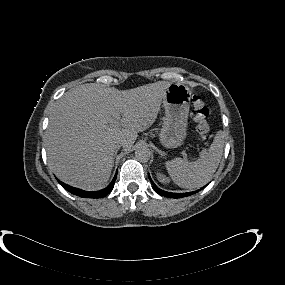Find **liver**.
<instances>
[{
	"mask_svg": "<svg viewBox=\"0 0 285 285\" xmlns=\"http://www.w3.org/2000/svg\"><path fill=\"white\" fill-rule=\"evenodd\" d=\"M169 85L158 81L118 90L84 84L67 91L54 104L45 133L49 167L69 185L85 190L105 187L115 143L123 140V148L129 150L137 133L152 126Z\"/></svg>",
	"mask_w": 285,
	"mask_h": 285,
	"instance_id": "obj_1",
	"label": "liver"
}]
</instances>
